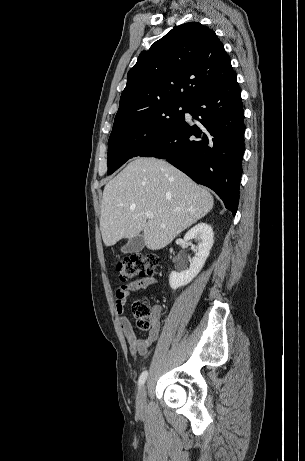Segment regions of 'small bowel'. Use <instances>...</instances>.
Here are the masks:
<instances>
[{"label": "small bowel", "instance_id": "1", "mask_svg": "<svg viewBox=\"0 0 305 461\" xmlns=\"http://www.w3.org/2000/svg\"><path fill=\"white\" fill-rule=\"evenodd\" d=\"M156 284L157 280L155 278H140L121 285L116 290V312L120 317L121 329L128 342L130 353L135 360L145 357L148 354L149 347H151L157 340L162 309L159 305H155L152 308V324L148 334L144 337H139L136 335L130 320L126 316L127 303L134 292L155 286Z\"/></svg>", "mask_w": 305, "mask_h": 461}]
</instances>
